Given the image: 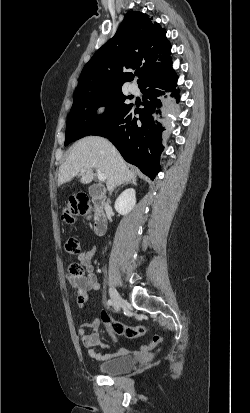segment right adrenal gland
I'll use <instances>...</instances> for the list:
<instances>
[{
  "label": "right adrenal gland",
  "instance_id": "right-adrenal-gland-1",
  "mask_svg": "<svg viewBox=\"0 0 250 413\" xmlns=\"http://www.w3.org/2000/svg\"><path fill=\"white\" fill-rule=\"evenodd\" d=\"M127 184H132V185L136 186V185H137L136 178H133V179H131V180H128V181L125 182L121 187H124V186L127 185ZM118 190H119V189H118ZM118 190L116 191V193L118 192Z\"/></svg>",
  "mask_w": 250,
  "mask_h": 413
}]
</instances>
